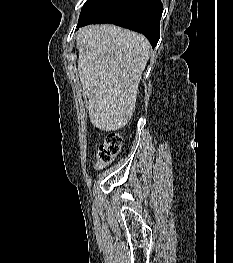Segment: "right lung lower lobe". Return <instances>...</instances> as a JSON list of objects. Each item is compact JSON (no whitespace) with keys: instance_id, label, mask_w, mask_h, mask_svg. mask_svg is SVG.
Instances as JSON below:
<instances>
[{"instance_id":"1","label":"right lung lower lobe","mask_w":233,"mask_h":263,"mask_svg":"<svg viewBox=\"0 0 233 263\" xmlns=\"http://www.w3.org/2000/svg\"><path fill=\"white\" fill-rule=\"evenodd\" d=\"M161 0H127L109 19L102 22L79 21L77 28L88 24L111 23L144 34L152 47L160 38Z\"/></svg>"}]
</instances>
